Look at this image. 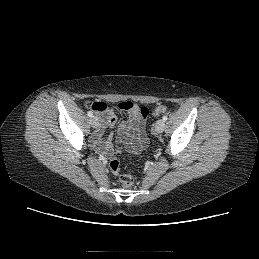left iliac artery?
I'll use <instances>...</instances> for the list:
<instances>
[{"mask_svg": "<svg viewBox=\"0 0 259 259\" xmlns=\"http://www.w3.org/2000/svg\"><path fill=\"white\" fill-rule=\"evenodd\" d=\"M168 119V116L167 115H164L163 116V120L166 121Z\"/></svg>", "mask_w": 259, "mask_h": 259, "instance_id": "obj_1", "label": "left iliac artery"}]
</instances>
